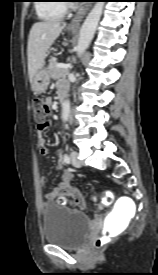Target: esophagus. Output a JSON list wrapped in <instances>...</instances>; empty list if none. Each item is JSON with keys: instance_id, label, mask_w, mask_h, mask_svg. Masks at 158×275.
<instances>
[{"instance_id": "1", "label": "esophagus", "mask_w": 158, "mask_h": 275, "mask_svg": "<svg viewBox=\"0 0 158 275\" xmlns=\"http://www.w3.org/2000/svg\"><path fill=\"white\" fill-rule=\"evenodd\" d=\"M91 7H92V3H85L78 10V12L75 14L74 18L72 19V21L69 24V28L71 30L77 31L80 28V25H81L84 17L86 16V14L88 13V11L90 10Z\"/></svg>"}]
</instances>
